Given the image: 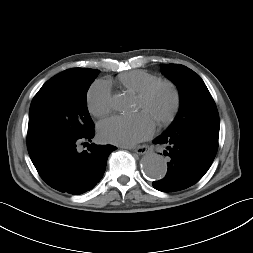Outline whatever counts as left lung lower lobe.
<instances>
[{
  "label": "left lung lower lobe",
  "instance_id": "left-lung-lower-lobe-1",
  "mask_svg": "<svg viewBox=\"0 0 253 253\" xmlns=\"http://www.w3.org/2000/svg\"><path fill=\"white\" fill-rule=\"evenodd\" d=\"M219 122L204 121L164 132L153 142L166 147L169 157L166 176L153 182L162 192H175L197 183L210 168L217 149Z\"/></svg>",
  "mask_w": 253,
  "mask_h": 253
}]
</instances>
